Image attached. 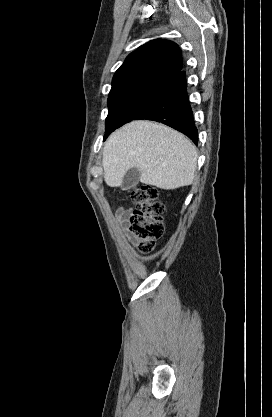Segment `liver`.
<instances>
[{
  "instance_id": "1",
  "label": "liver",
  "mask_w": 272,
  "mask_h": 417,
  "mask_svg": "<svg viewBox=\"0 0 272 417\" xmlns=\"http://www.w3.org/2000/svg\"><path fill=\"white\" fill-rule=\"evenodd\" d=\"M197 158L196 147L183 134L162 124L132 121L104 145V180L119 187L126 172L136 167L141 183L173 190L193 183Z\"/></svg>"
}]
</instances>
